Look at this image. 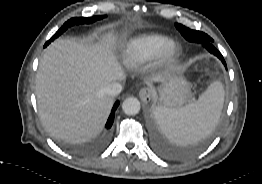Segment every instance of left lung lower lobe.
Segmentation results:
<instances>
[{
  "label": "left lung lower lobe",
  "mask_w": 262,
  "mask_h": 184,
  "mask_svg": "<svg viewBox=\"0 0 262 184\" xmlns=\"http://www.w3.org/2000/svg\"><path fill=\"white\" fill-rule=\"evenodd\" d=\"M203 47H205L210 53L217 56L224 66L226 67V62L222 56V54L214 47L213 43H203ZM227 69V67H226ZM151 131V140L152 146L154 150L160 154L161 156L169 159H187L191 158L198 153H200L206 145V141H194L185 145H171L168 143L166 137L162 135V129L157 121H153L150 124Z\"/></svg>",
  "instance_id": "0a47b994"
}]
</instances>
